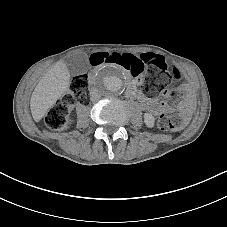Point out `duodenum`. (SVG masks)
Returning a JSON list of instances; mask_svg holds the SVG:
<instances>
[{
	"label": "duodenum",
	"instance_id": "410a0bca",
	"mask_svg": "<svg viewBox=\"0 0 227 227\" xmlns=\"http://www.w3.org/2000/svg\"><path fill=\"white\" fill-rule=\"evenodd\" d=\"M128 89L131 90V92H132L133 95H137V92H136V89H135V85L133 83L128 87ZM140 98H141V96H140Z\"/></svg>",
	"mask_w": 227,
	"mask_h": 227
}]
</instances>
